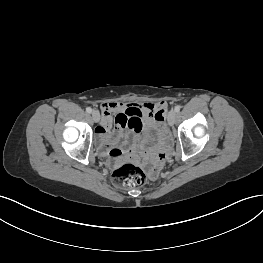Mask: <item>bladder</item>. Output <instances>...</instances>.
<instances>
[{
    "label": "bladder",
    "instance_id": "1",
    "mask_svg": "<svg viewBox=\"0 0 263 263\" xmlns=\"http://www.w3.org/2000/svg\"><path fill=\"white\" fill-rule=\"evenodd\" d=\"M164 134V130L162 128H157L155 131L152 132V137L155 140L160 139Z\"/></svg>",
    "mask_w": 263,
    "mask_h": 263
}]
</instances>
